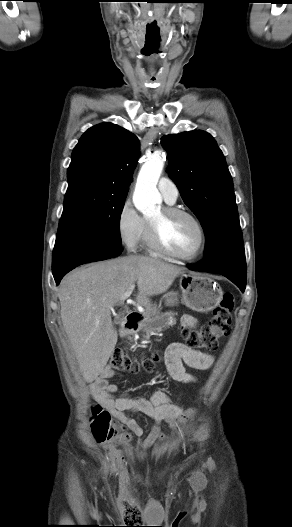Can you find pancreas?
Returning <instances> with one entry per match:
<instances>
[{"label": "pancreas", "mask_w": 292, "mask_h": 527, "mask_svg": "<svg viewBox=\"0 0 292 527\" xmlns=\"http://www.w3.org/2000/svg\"><path fill=\"white\" fill-rule=\"evenodd\" d=\"M175 313L172 311L157 314L151 319L144 321L141 325V331L145 333L143 337H147L150 333L161 331L163 328L176 323L174 318Z\"/></svg>", "instance_id": "pancreas-1"}]
</instances>
